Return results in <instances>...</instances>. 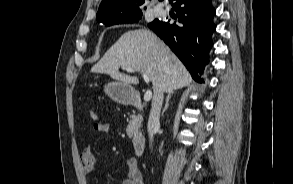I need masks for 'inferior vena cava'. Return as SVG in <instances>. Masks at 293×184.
I'll use <instances>...</instances> for the list:
<instances>
[{
	"mask_svg": "<svg viewBox=\"0 0 293 184\" xmlns=\"http://www.w3.org/2000/svg\"><path fill=\"white\" fill-rule=\"evenodd\" d=\"M163 98H164V92L161 91L158 95L154 96L152 101V108L150 111L148 124H147V129H148L151 144L153 142V135H154L155 129L160 124L159 120H160V112H161V107L163 103Z\"/></svg>",
	"mask_w": 293,
	"mask_h": 184,
	"instance_id": "602c4592",
	"label": "inferior vena cava"
}]
</instances>
